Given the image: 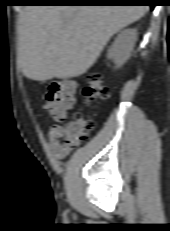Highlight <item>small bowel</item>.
Instances as JSON below:
<instances>
[{
  "instance_id": "1",
  "label": "small bowel",
  "mask_w": 170,
  "mask_h": 231,
  "mask_svg": "<svg viewBox=\"0 0 170 231\" xmlns=\"http://www.w3.org/2000/svg\"><path fill=\"white\" fill-rule=\"evenodd\" d=\"M47 137L50 153L56 159H63L71 152L72 148L62 140V126L53 125L49 129Z\"/></svg>"
}]
</instances>
